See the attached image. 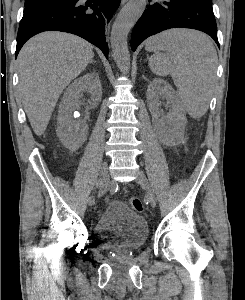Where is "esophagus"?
<instances>
[{
  "mask_svg": "<svg viewBox=\"0 0 245 300\" xmlns=\"http://www.w3.org/2000/svg\"><path fill=\"white\" fill-rule=\"evenodd\" d=\"M128 0H122L121 4H125Z\"/></svg>",
  "mask_w": 245,
  "mask_h": 300,
  "instance_id": "obj_1",
  "label": "esophagus"
}]
</instances>
